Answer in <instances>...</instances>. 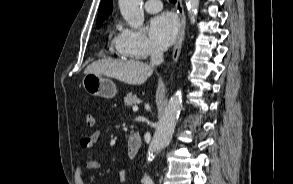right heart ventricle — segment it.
<instances>
[{
    "instance_id": "e07e8e85",
    "label": "right heart ventricle",
    "mask_w": 293,
    "mask_h": 184,
    "mask_svg": "<svg viewBox=\"0 0 293 184\" xmlns=\"http://www.w3.org/2000/svg\"><path fill=\"white\" fill-rule=\"evenodd\" d=\"M115 39H116V38H114V40H113L114 51H115L117 54H119V55H122V56H128L127 54L121 52V51L118 49V47L116 46V43H115Z\"/></svg>"
}]
</instances>
